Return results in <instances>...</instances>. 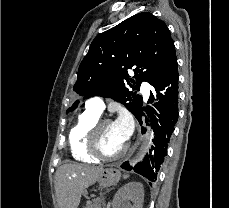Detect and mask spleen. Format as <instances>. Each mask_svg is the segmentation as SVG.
Listing matches in <instances>:
<instances>
[{"instance_id": "obj_1", "label": "spleen", "mask_w": 229, "mask_h": 208, "mask_svg": "<svg viewBox=\"0 0 229 208\" xmlns=\"http://www.w3.org/2000/svg\"><path fill=\"white\" fill-rule=\"evenodd\" d=\"M124 178H128V176H124Z\"/></svg>"}]
</instances>
